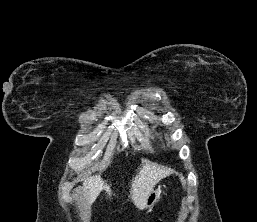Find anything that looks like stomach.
I'll return each instance as SVG.
<instances>
[{
    "label": "stomach",
    "instance_id": "0dacf381",
    "mask_svg": "<svg viewBox=\"0 0 257 222\" xmlns=\"http://www.w3.org/2000/svg\"><path fill=\"white\" fill-rule=\"evenodd\" d=\"M160 195H161L160 188L153 189L147 197L145 208L152 209L155 206V204L159 201Z\"/></svg>",
    "mask_w": 257,
    "mask_h": 222
}]
</instances>
